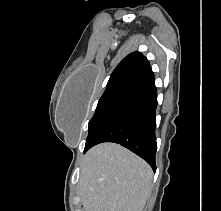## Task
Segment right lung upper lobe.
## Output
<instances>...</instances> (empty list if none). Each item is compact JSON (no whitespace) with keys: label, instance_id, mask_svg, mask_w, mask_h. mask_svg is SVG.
Instances as JSON below:
<instances>
[{"label":"right lung upper lobe","instance_id":"1","mask_svg":"<svg viewBox=\"0 0 221 211\" xmlns=\"http://www.w3.org/2000/svg\"><path fill=\"white\" fill-rule=\"evenodd\" d=\"M153 83L154 74L148 60L140 52H133L115 68L104 93L119 89L138 91Z\"/></svg>","mask_w":221,"mask_h":211}]
</instances>
